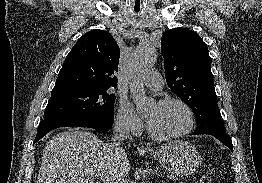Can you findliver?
Wrapping results in <instances>:
<instances>
[{
  "label": "liver",
  "instance_id": "1",
  "mask_svg": "<svg viewBox=\"0 0 262 183\" xmlns=\"http://www.w3.org/2000/svg\"><path fill=\"white\" fill-rule=\"evenodd\" d=\"M130 171L120 143H104L92 132L69 129L43 150L37 183H94L99 174L123 178Z\"/></svg>",
  "mask_w": 262,
  "mask_h": 183
}]
</instances>
